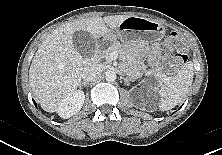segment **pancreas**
Returning <instances> with one entry per match:
<instances>
[{
    "instance_id": "obj_1",
    "label": "pancreas",
    "mask_w": 222,
    "mask_h": 155,
    "mask_svg": "<svg viewBox=\"0 0 222 155\" xmlns=\"http://www.w3.org/2000/svg\"><path fill=\"white\" fill-rule=\"evenodd\" d=\"M116 51L118 52L121 57L123 58L125 64H126V71L127 74L130 77H135L137 74L140 73V71L145 70L147 67L146 65H144L142 62L138 61L135 58V55L133 53L132 49H125L122 47V45L120 43H115L113 44L111 47L107 48L106 50L102 51L100 53V57L101 58H105L106 63H110V54ZM152 72L154 74V76H156L157 78H164L166 75L163 73L162 68L160 67H156L154 69H152Z\"/></svg>"
}]
</instances>
